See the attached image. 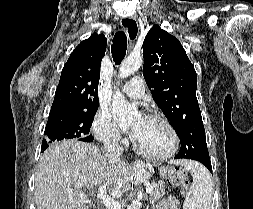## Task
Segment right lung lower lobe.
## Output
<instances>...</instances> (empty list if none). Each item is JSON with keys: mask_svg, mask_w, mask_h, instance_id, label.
Returning a JSON list of instances; mask_svg holds the SVG:
<instances>
[{"mask_svg": "<svg viewBox=\"0 0 253 209\" xmlns=\"http://www.w3.org/2000/svg\"><path fill=\"white\" fill-rule=\"evenodd\" d=\"M93 141V137L91 139H88L87 142H92Z\"/></svg>", "mask_w": 253, "mask_h": 209, "instance_id": "1", "label": "right lung lower lobe"}]
</instances>
